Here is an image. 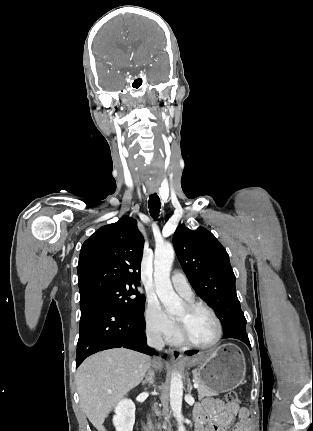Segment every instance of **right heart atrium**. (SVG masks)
Instances as JSON below:
<instances>
[{
    "label": "right heart atrium",
    "mask_w": 313,
    "mask_h": 431,
    "mask_svg": "<svg viewBox=\"0 0 313 431\" xmlns=\"http://www.w3.org/2000/svg\"><path fill=\"white\" fill-rule=\"evenodd\" d=\"M144 319L148 331L161 338L169 339L176 331L175 323L155 299L148 300Z\"/></svg>",
    "instance_id": "right-heart-atrium-1"
}]
</instances>
